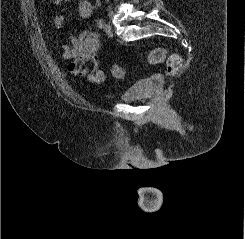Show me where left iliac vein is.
Returning <instances> with one entry per match:
<instances>
[{
	"instance_id": "left-iliac-vein-1",
	"label": "left iliac vein",
	"mask_w": 245,
	"mask_h": 239,
	"mask_svg": "<svg viewBox=\"0 0 245 239\" xmlns=\"http://www.w3.org/2000/svg\"><path fill=\"white\" fill-rule=\"evenodd\" d=\"M104 31L107 35L112 36L113 31H112V26L109 23L104 24Z\"/></svg>"
}]
</instances>
